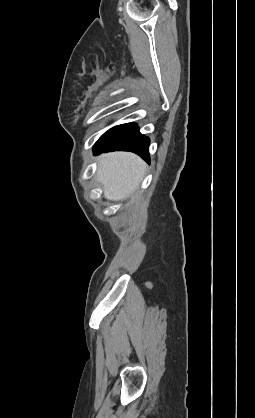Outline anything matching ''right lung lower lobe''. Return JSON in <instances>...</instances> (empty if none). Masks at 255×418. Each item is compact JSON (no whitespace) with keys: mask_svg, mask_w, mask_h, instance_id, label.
<instances>
[{"mask_svg":"<svg viewBox=\"0 0 255 418\" xmlns=\"http://www.w3.org/2000/svg\"><path fill=\"white\" fill-rule=\"evenodd\" d=\"M149 138L139 132L134 123L115 126L104 133L94 145V153L132 151L149 162Z\"/></svg>","mask_w":255,"mask_h":418,"instance_id":"right-lung-lower-lobe-1","label":"right lung lower lobe"}]
</instances>
